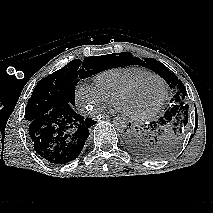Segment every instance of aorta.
Instances as JSON below:
<instances>
[{
  "mask_svg": "<svg viewBox=\"0 0 213 213\" xmlns=\"http://www.w3.org/2000/svg\"><path fill=\"white\" fill-rule=\"evenodd\" d=\"M127 121L123 116H116L113 119V126L118 132L123 133L127 129Z\"/></svg>",
  "mask_w": 213,
  "mask_h": 213,
  "instance_id": "aorta-1",
  "label": "aorta"
}]
</instances>
